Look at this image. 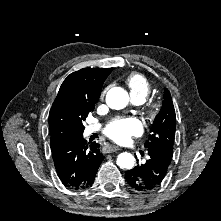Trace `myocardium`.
<instances>
[{
  "mask_svg": "<svg viewBox=\"0 0 221 221\" xmlns=\"http://www.w3.org/2000/svg\"><path fill=\"white\" fill-rule=\"evenodd\" d=\"M159 104L154 102L147 109V115L150 120H154L158 114Z\"/></svg>",
  "mask_w": 221,
  "mask_h": 221,
  "instance_id": "myocardium-1",
  "label": "myocardium"
}]
</instances>
